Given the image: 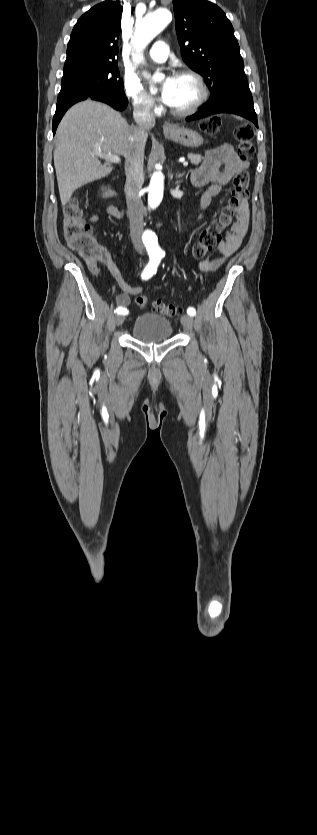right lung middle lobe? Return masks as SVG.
<instances>
[{
  "label": "right lung middle lobe",
  "mask_w": 317,
  "mask_h": 835,
  "mask_svg": "<svg viewBox=\"0 0 317 835\" xmlns=\"http://www.w3.org/2000/svg\"><path fill=\"white\" fill-rule=\"evenodd\" d=\"M109 90L124 94L117 64L72 62L64 66L61 91L57 102L74 96Z\"/></svg>",
  "instance_id": "obj_1"
}]
</instances>
